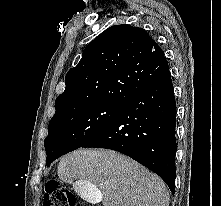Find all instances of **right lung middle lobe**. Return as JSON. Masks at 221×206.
Returning <instances> with one entry per match:
<instances>
[{
    "mask_svg": "<svg viewBox=\"0 0 221 206\" xmlns=\"http://www.w3.org/2000/svg\"><path fill=\"white\" fill-rule=\"evenodd\" d=\"M122 105L94 103L56 113L44 140L47 166L71 152L105 128L120 112Z\"/></svg>",
    "mask_w": 221,
    "mask_h": 206,
    "instance_id": "1",
    "label": "right lung middle lobe"
}]
</instances>
